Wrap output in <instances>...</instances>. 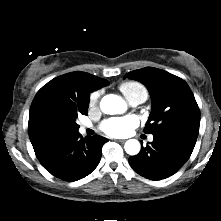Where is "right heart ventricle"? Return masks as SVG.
<instances>
[{"label":"right heart ventricle","mask_w":221,"mask_h":221,"mask_svg":"<svg viewBox=\"0 0 221 221\" xmlns=\"http://www.w3.org/2000/svg\"><path fill=\"white\" fill-rule=\"evenodd\" d=\"M119 89L127 100L135 96H144L145 98H147V90L139 82L135 81L124 82L120 84Z\"/></svg>","instance_id":"right-heart-ventricle-1"}]
</instances>
